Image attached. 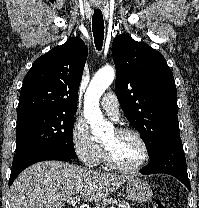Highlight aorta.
<instances>
[{
	"mask_svg": "<svg viewBox=\"0 0 199 208\" xmlns=\"http://www.w3.org/2000/svg\"><path fill=\"white\" fill-rule=\"evenodd\" d=\"M115 77V70L111 66L100 69L92 78L84 98V117L90 124L92 134L102 136L110 130L111 125L104 120L99 101L105 90Z\"/></svg>",
	"mask_w": 199,
	"mask_h": 208,
	"instance_id": "obj_1",
	"label": "aorta"
}]
</instances>
